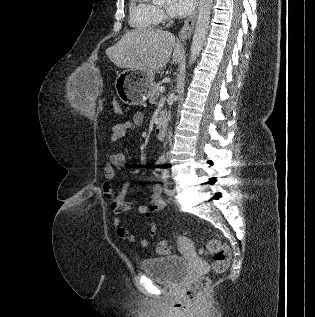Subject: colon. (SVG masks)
I'll return each instance as SVG.
<instances>
[{"mask_svg": "<svg viewBox=\"0 0 315 317\" xmlns=\"http://www.w3.org/2000/svg\"><path fill=\"white\" fill-rule=\"evenodd\" d=\"M116 112H121V108L118 102L114 103ZM172 246L167 240H161L157 245V251L161 254H167L171 252ZM202 253L209 254L212 256V271L214 273H224L230 263V249L229 247L218 239H210L205 248L202 249ZM210 283L208 276H201L192 281L186 289V297L195 301L198 300L202 294L206 291Z\"/></svg>", "mask_w": 315, "mask_h": 317, "instance_id": "colon-1", "label": "colon"}]
</instances>
